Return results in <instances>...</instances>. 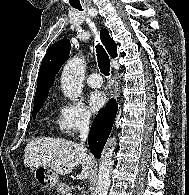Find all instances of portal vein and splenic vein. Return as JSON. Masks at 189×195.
<instances>
[{"label":"portal vein and splenic vein","mask_w":189,"mask_h":195,"mask_svg":"<svg viewBox=\"0 0 189 195\" xmlns=\"http://www.w3.org/2000/svg\"><path fill=\"white\" fill-rule=\"evenodd\" d=\"M67 195H72V193H68Z\"/></svg>","instance_id":"portal-vein-and-splenic-vein-1"}]
</instances>
